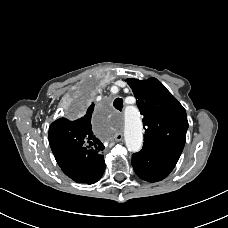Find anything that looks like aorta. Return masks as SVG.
Listing matches in <instances>:
<instances>
[{
	"label": "aorta",
	"instance_id": "1",
	"mask_svg": "<svg viewBox=\"0 0 228 228\" xmlns=\"http://www.w3.org/2000/svg\"><path fill=\"white\" fill-rule=\"evenodd\" d=\"M124 137L129 151L138 152L142 148V121L138 109L134 106L126 107L124 112Z\"/></svg>",
	"mask_w": 228,
	"mask_h": 228
}]
</instances>
